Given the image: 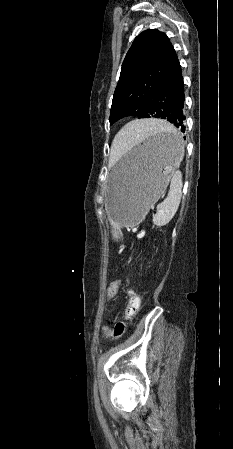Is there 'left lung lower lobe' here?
I'll use <instances>...</instances> for the list:
<instances>
[{"instance_id":"obj_1","label":"left lung lower lobe","mask_w":233,"mask_h":449,"mask_svg":"<svg viewBox=\"0 0 233 449\" xmlns=\"http://www.w3.org/2000/svg\"><path fill=\"white\" fill-rule=\"evenodd\" d=\"M184 100V83L179 64L153 96L144 118L165 119L184 133L186 128L183 113ZM160 140L169 144L177 142L176 137H165Z\"/></svg>"}]
</instances>
